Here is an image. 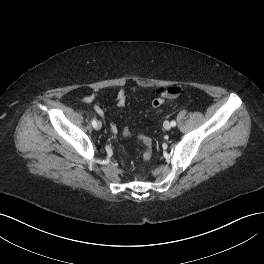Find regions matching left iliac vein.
<instances>
[{"label": "left iliac vein", "mask_w": 264, "mask_h": 264, "mask_svg": "<svg viewBox=\"0 0 264 264\" xmlns=\"http://www.w3.org/2000/svg\"><path fill=\"white\" fill-rule=\"evenodd\" d=\"M164 128L166 130H170L171 129V123L169 121H165L164 124H163Z\"/></svg>", "instance_id": "obj_1"}]
</instances>
